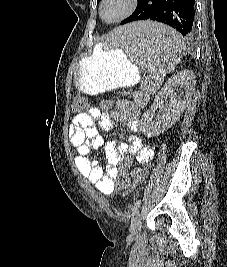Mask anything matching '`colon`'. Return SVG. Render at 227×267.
I'll list each match as a JSON object with an SVG mask.
<instances>
[{"mask_svg": "<svg viewBox=\"0 0 227 267\" xmlns=\"http://www.w3.org/2000/svg\"><path fill=\"white\" fill-rule=\"evenodd\" d=\"M86 106V100L84 97H77L73 102V114L83 113ZM103 109H117V104H112V101H103ZM119 191L121 193L136 192V187H131L130 181L127 177L123 176L119 180Z\"/></svg>", "mask_w": 227, "mask_h": 267, "instance_id": "obj_1", "label": "colon"}]
</instances>
